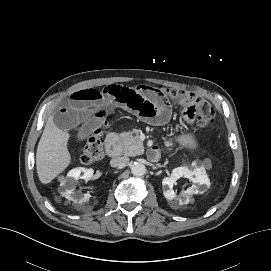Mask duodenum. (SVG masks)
I'll list each match as a JSON object with an SVG mask.
<instances>
[{"label":"duodenum","mask_w":271,"mask_h":271,"mask_svg":"<svg viewBox=\"0 0 271 271\" xmlns=\"http://www.w3.org/2000/svg\"><path fill=\"white\" fill-rule=\"evenodd\" d=\"M107 154L112 158H117L121 153L120 138L117 133H110L105 140Z\"/></svg>","instance_id":"410a0bca"}]
</instances>
